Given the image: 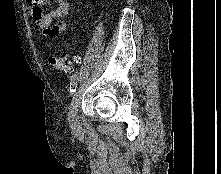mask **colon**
Wrapping results in <instances>:
<instances>
[{"label": "colon", "mask_w": 221, "mask_h": 174, "mask_svg": "<svg viewBox=\"0 0 221 174\" xmlns=\"http://www.w3.org/2000/svg\"><path fill=\"white\" fill-rule=\"evenodd\" d=\"M50 64L57 70L71 72L75 64L79 62L77 57L70 58L64 54H53L49 57Z\"/></svg>", "instance_id": "colon-1"}]
</instances>
